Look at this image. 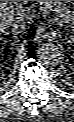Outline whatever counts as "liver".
<instances>
[{
  "instance_id": "1",
  "label": "liver",
  "mask_w": 74,
  "mask_h": 122,
  "mask_svg": "<svg viewBox=\"0 0 74 122\" xmlns=\"http://www.w3.org/2000/svg\"><path fill=\"white\" fill-rule=\"evenodd\" d=\"M25 10L22 6L17 5L16 7H8L5 9H2L1 6V12H0V31L3 32L4 29L7 27V25L9 24V18L11 16H14L15 14L18 13H24L25 14Z\"/></svg>"
}]
</instances>
